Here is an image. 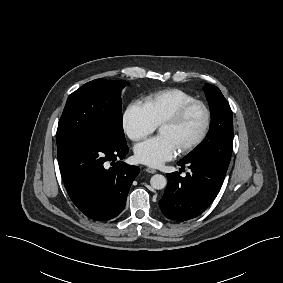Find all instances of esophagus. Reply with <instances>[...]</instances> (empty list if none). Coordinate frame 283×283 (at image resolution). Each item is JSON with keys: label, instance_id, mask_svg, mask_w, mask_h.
<instances>
[{"label": "esophagus", "instance_id": "obj_1", "mask_svg": "<svg viewBox=\"0 0 283 283\" xmlns=\"http://www.w3.org/2000/svg\"><path fill=\"white\" fill-rule=\"evenodd\" d=\"M146 170V172H148V173H151V174H154V173H156L157 171L155 170V169H153V168H146L145 169Z\"/></svg>", "mask_w": 283, "mask_h": 283}]
</instances>
